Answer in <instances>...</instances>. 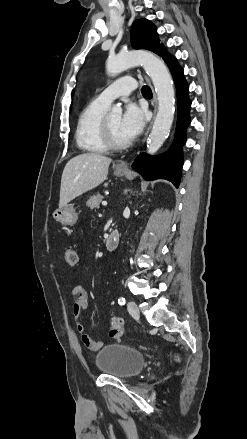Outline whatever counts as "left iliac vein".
Listing matches in <instances>:
<instances>
[{
	"label": "left iliac vein",
	"instance_id": "1",
	"mask_svg": "<svg viewBox=\"0 0 247 439\" xmlns=\"http://www.w3.org/2000/svg\"><path fill=\"white\" fill-rule=\"evenodd\" d=\"M127 309H128L129 314L133 318H139V315H140L139 309L134 301H128Z\"/></svg>",
	"mask_w": 247,
	"mask_h": 439
}]
</instances>
